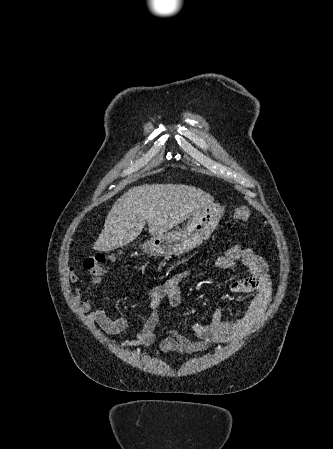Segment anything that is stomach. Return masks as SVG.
Masks as SVG:
<instances>
[{
    "label": "stomach",
    "mask_w": 333,
    "mask_h": 449,
    "mask_svg": "<svg viewBox=\"0 0 333 449\" xmlns=\"http://www.w3.org/2000/svg\"><path fill=\"white\" fill-rule=\"evenodd\" d=\"M223 213L220 204L212 202L198 210L184 228L154 236L142 248L152 256L184 254L209 238Z\"/></svg>",
    "instance_id": "stomach-1"
}]
</instances>
